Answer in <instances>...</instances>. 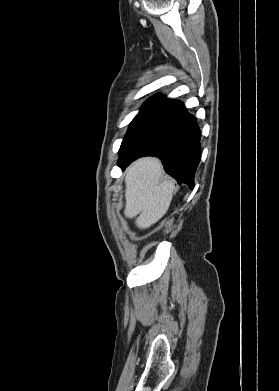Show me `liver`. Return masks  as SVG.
I'll list each match as a JSON object with an SVG mask.
<instances>
[{
    "instance_id": "6515ba94",
    "label": "liver",
    "mask_w": 279,
    "mask_h": 391,
    "mask_svg": "<svg viewBox=\"0 0 279 391\" xmlns=\"http://www.w3.org/2000/svg\"><path fill=\"white\" fill-rule=\"evenodd\" d=\"M163 178L159 159L145 157L136 161L127 171L125 184L127 218H136L140 229L151 227L167 212L175 188L172 179Z\"/></svg>"
}]
</instances>
